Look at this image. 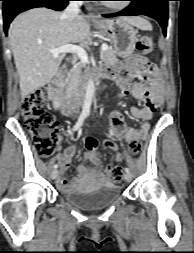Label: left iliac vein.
<instances>
[{"mask_svg":"<svg viewBox=\"0 0 194 253\" xmlns=\"http://www.w3.org/2000/svg\"><path fill=\"white\" fill-rule=\"evenodd\" d=\"M124 179L127 181V182H130L132 180V174L130 172H126L124 174Z\"/></svg>","mask_w":194,"mask_h":253,"instance_id":"1","label":"left iliac vein"}]
</instances>
